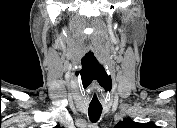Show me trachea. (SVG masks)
I'll use <instances>...</instances> for the list:
<instances>
[{
    "label": "trachea",
    "mask_w": 177,
    "mask_h": 128,
    "mask_svg": "<svg viewBox=\"0 0 177 128\" xmlns=\"http://www.w3.org/2000/svg\"><path fill=\"white\" fill-rule=\"evenodd\" d=\"M101 113L102 106H89L88 108L89 119L92 123H96L100 119Z\"/></svg>",
    "instance_id": "3493384b"
}]
</instances>
